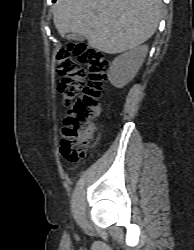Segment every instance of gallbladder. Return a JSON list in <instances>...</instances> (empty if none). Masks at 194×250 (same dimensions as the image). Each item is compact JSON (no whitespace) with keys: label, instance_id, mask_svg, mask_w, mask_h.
<instances>
[{"label":"gallbladder","instance_id":"1","mask_svg":"<svg viewBox=\"0 0 194 250\" xmlns=\"http://www.w3.org/2000/svg\"><path fill=\"white\" fill-rule=\"evenodd\" d=\"M68 39H73V40H77V41H83L85 39V36L81 35V34H68L67 35Z\"/></svg>","mask_w":194,"mask_h":250}]
</instances>
